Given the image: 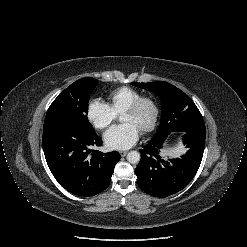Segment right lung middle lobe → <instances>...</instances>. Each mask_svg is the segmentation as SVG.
I'll return each mask as SVG.
<instances>
[{
    "label": "right lung middle lobe",
    "instance_id": "obj_1",
    "mask_svg": "<svg viewBox=\"0 0 247 247\" xmlns=\"http://www.w3.org/2000/svg\"><path fill=\"white\" fill-rule=\"evenodd\" d=\"M97 79L86 77L77 80L66 88L50 105L45 123L56 120L78 122L93 130L88 121V102Z\"/></svg>",
    "mask_w": 247,
    "mask_h": 247
}]
</instances>
